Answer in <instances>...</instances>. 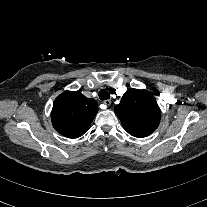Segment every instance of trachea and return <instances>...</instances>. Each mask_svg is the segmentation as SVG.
Listing matches in <instances>:
<instances>
[{"instance_id": "trachea-1", "label": "trachea", "mask_w": 207, "mask_h": 207, "mask_svg": "<svg viewBox=\"0 0 207 207\" xmlns=\"http://www.w3.org/2000/svg\"><path fill=\"white\" fill-rule=\"evenodd\" d=\"M99 98L100 100H107L110 98V94L106 90L101 89L99 92Z\"/></svg>"}]
</instances>
